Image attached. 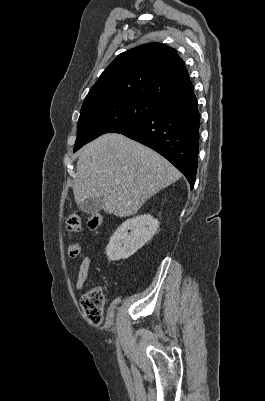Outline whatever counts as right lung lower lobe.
Here are the masks:
<instances>
[{
	"label": "right lung lower lobe",
	"instance_id": "obj_1",
	"mask_svg": "<svg viewBox=\"0 0 265 401\" xmlns=\"http://www.w3.org/2000/svg\"><path fill=\"white\" fill-rule=\"evenodd\" d=\"M200 114L194 89L165 100L152 114L112 133L138 141L169 160L194 187L198 165Z\"/></svg>",
	"mask_w": 265,
	"mask_h": 401
}]
</instances>
